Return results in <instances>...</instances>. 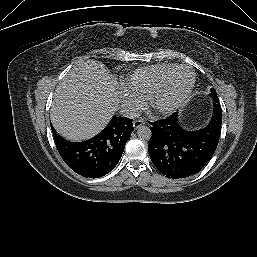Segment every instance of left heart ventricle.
I'll list each match as a JSON object with an SVG mask.
<instances>
[{"label":"left heart ventricle","mask_w":257,"mask_h":257,"mask_svg":"<svg viewBox=\"0 0 257 257\" xmlns=\"http://www.w3.org/2000/svg\"><path fill=\"white\" fill-rule=\"evenodd\" d=\"M191 80V74L187 70L175 72L167 81L162 101H169L176 98L187 88Z\"/></svg>","instance_id":"left-heart-ventricle-1"}]
</instances>
